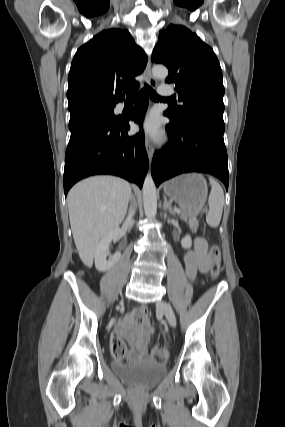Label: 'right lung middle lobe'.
Instances as JSON below:
<instances>
[{
    "label": "right lung middle lobe",
    "instance_id": "obj_1",
    "mask_svg": "<svg viewBox=\"0 0 285 427\" xmlns=\"http://www.w3.org/2000/svg\"><path fill=\"white\" fill-rule=\"evenodd\" d=\"M115 104L113 105H95L89 106L75 113L70 114L69 128H72L75 124L80 122L83 119L90 117H99L105 118L108 120H118L119 117H116L113 114Z\"/></svg>",
    "mask_w": 285,
    "mask_h": 427
}]
</instances>
